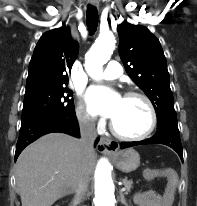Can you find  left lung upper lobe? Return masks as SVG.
<instances>
[{
	"label": "left lung upper lobe",
	"instance_id": "obj_1",
	"mask_svg": "<svg viewBox=\"0 0 197 206\" xmlns=\"http://www.w3.org/2000/svg\"><path fill=\"white\" fill-rule=\"evenodd\" d=\"M119 55L125 70L151 100L157 115V131L178 130L170 78L159 40L143 26L126 20L117 26Z\"/></svg>",
	"mask_w": 197,
	"mask_h": 206
}]
</instances>
